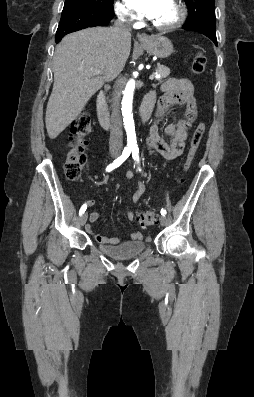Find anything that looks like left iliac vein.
<instances>
[{
  "instance_id": "left-iliac-vein-1",
  "label": "left iliac vein",
  "mask_w": 254,
  "mask_h": 397,
  "mask_svg": "<svg viewBox=\"0 0 254 397\" xmlns=\"http://www.w3.org/2000/svg\"><path fill=\"white\" fill-rule=\"evenodd\" d=\"M166 223H167V218H166L165 216L162 215V216L160 217V224H161L162 226H165Z\"/></svg>"
}]
</instances>
